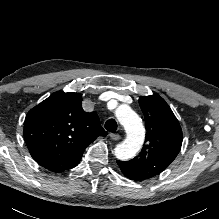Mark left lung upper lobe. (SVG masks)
I'll use <instances>...</instances> for the list:
<instances>
[{
    "instance_id": "1",
    "label": "left lung upper lobe",
    "mask_w": 219,
    "mask_h": 219,
    "mask_svg": "<svg viewBox=\"0 0 219 219\" xmlns=\"http://www.w3.org/2000/svg\"><path fill=\"white\" fill-rule=\"evenodd\" d=\"M139 105L146 122V144L135 158L117 163L121 171L146 180L160 174L173 162L181 149L183 135L172 110L158 94L141 96Z\"/></svg>"
}]
</instances>
